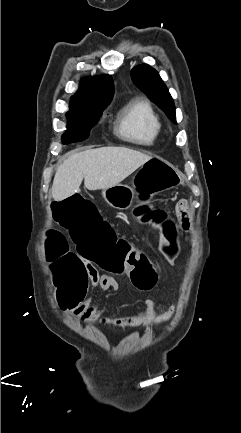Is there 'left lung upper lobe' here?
Here are the masks:
<instances>
[{
	"label": "left lung upper lobe",
	"instance_id": "obj_1",
	"mask_svg": "<svg viewBox=\"0 0 241 433\" xmlns=\"http://www.w3.org/2000/svg\"><path fill=\"white\" fill-rule=\"evenodd\" d=\"M131 77L136 85L176 123L173 99L158 72L149 65L142 64L132 69Z\"/></svg>",
	"mask_w": 241,
	"mask_h": 433
}]
</instances>
